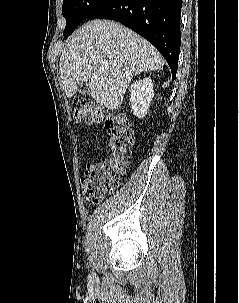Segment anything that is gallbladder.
<instances>
[{"mask_svg": "<svg viewBox=\"0 0 239 303\" xmlns=\"http://www.w3.org/2000/svg\"><path fill=\"white\" fill-rule=\"evenodd\" d=\"M78 91L79 93L81 94H89V86H88V83L87 82H81L79 85H78Z\"/></svg>", "mask_w": 239, "mask_h": 303, "instance_id": "1", "label": "gallbladder"}]
</instances>
